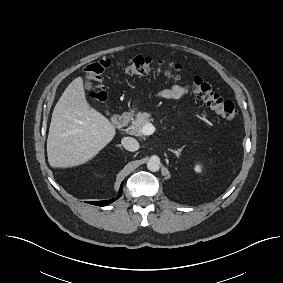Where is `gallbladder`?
Masks as SVG:
<instances>
[{"label":"gallbladder","instance_id":"1","mask_svg":"<svg viewBox=\"0 0 283 283\" xmlns=\"http://www.w3.org/2000/svg\"><path fill=\"white\" fill-rule=\"evenodd\" d=\"M92 86H93V85H92L91 82H86V83H85V88L88 89V90H90V89L92 88Z\"/></svg>","mask_w":283,"mask_h":283}]
</instances>
